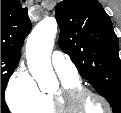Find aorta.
I'll use <instances>...</instances> for the list:
<instances>
[{
    "label": "aorta",
    "instance_id": "obj_1",
    "mask_svg": "<svg viewBox=\"0 0 121 113\" xmlns=\"http://www.w3.org/2000/svg\"><path fill=\"white\" fill-rule=\"evenodd\" d=\"M56 32L55 18L45 17L32 30L26 44L29 71L44 92L57 86V78L50 59Z\"/></svg>",
    "mask_w": 121,
    "mask_h": 113
}]
</instances>
